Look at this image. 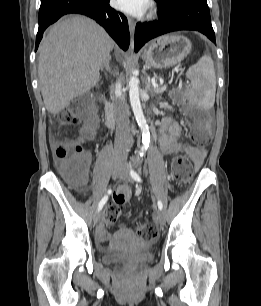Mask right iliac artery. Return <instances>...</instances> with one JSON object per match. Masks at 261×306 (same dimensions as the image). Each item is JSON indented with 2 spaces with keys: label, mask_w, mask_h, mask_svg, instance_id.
I'll return each mask as SVG.
<instances>
[{
  "label": "right iliac artery",
  "mask_w": 261,
  "mask_h": 306,
  "mask_svg": "<svg viewBox=\"0 0 261 306\" xmlns=\"http://www.w3.org/2000/svg\"><path fill=\"white\" fill-rule=\"evenodd\" d=\"M110 193H111V190L108 191V194ZM107 200H108V195H105L98 204V211H101V209L103 208Z\"/></svg>",
  "instance_id": "1"
}]
</instances>
